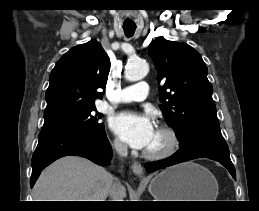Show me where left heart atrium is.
Instances as JSON below:
<instances>
[{"label": "left heart atrium", "mask_w": 259, "mask_h": 211, "mask_svg": "<svg viewBox=\"0 0 259 211\" xmlns=\"http://www.w3.org/2000/svg\"><path fill=\"white\" fill-rule=\"evenodd\" d=\"M110 127L127 144L136 149H146L155 134V128L148 116L130 112L112 117Z\"/></svg>", "instance_id": "39dd6f15"}]
</instances>
